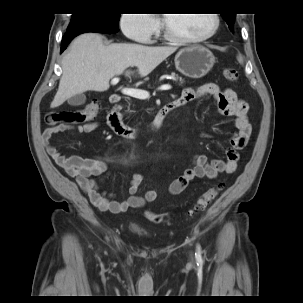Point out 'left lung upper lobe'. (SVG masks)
I'll list each match as a JSON object with an SVG mask.
<instances>
[{
    "instance_id": "obj_1",
    "label": "left lung upper lobe",
    "mask_w": 303,
    "mask_h": 303,
    "mask_svg": "<svg viewBox=\"0 0 303 303\" xmlns=\"http://www.w3.org/2000/svg\"><path fill=\"white\" fill-rule=\"evenodd\" d=\"M223 16V18L225 19V21L228 23L229 28H232V25L234 23V18L236 14H221Z\"/></svg>"
}]
</instances>
